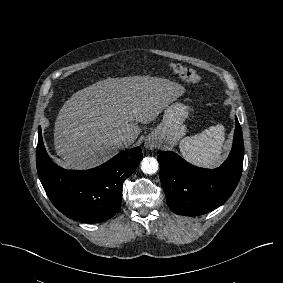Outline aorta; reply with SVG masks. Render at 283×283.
I'll list each match as a JSON object with an SVG mask.
<instances>
[{"label":"aorta","mask_w":283,"mask_h":283,"mask_svg":"<svg viewBox=\"0 0 283 283\" xmlns=\"http://www.w3.org/2000/svg\"><path fill=\"white\" fill-rule=\"evenodd\" d=\"M158 168V161L154 157H145L141 161V170L145 174H154Z\"/></svg>","instance_id":"1"}]
</instances>
